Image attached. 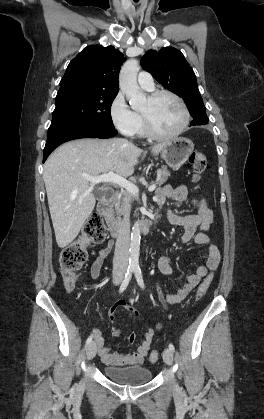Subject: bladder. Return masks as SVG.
I'll list each match as a JSON object with an SVG mask.
<instances>
[{"mask_svg":"<svg viewBox=\"0 0 264 419\" xmlns=\"http://www.w3.org/2000/svg\"><path fill=\"white\" fill-rule=\"evenodd\" d=\"M103 372L108 379L120 385H142L152 378L151 370L143 366H105Z\"/></svg>","mask_w":264,"mask_h":419,"instance_id":"obj_1","label":"bladder"}]
</instances>
